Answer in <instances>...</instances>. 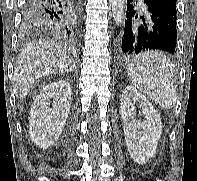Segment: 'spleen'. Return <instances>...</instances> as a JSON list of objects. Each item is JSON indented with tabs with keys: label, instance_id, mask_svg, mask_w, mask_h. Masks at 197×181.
I'll return each mask as SVG.
<instances>
[{
	"label": "spleen",
	"instance_id": "spleen-1",
	"mask_svg": "<svg viewBox=\"0 0 197 181\" xmlns=\"http://www.w3.org/2000/svg\"><path fill=\"white\" fill-rule=\"evenodd\" d=\"M131 83L164 108H172L177 100L175 66L162 51H148L128 64Z\"/></svg>",
	"mask_w": 197,
	"mask_h": 181
}]
</instances>
